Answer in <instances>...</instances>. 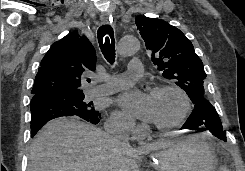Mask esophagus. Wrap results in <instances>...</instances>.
I'll use <instances>...</instances> for the list:
<instances>
[{
  "label": "esophagus",
  "mask_w": 245,
  "mask_h": 171,
  "mask_svg": "<svg viewBox=\"0 0 245 171\" xmlns=\"http://www.w3.org/2000/svg\"><path fill=\"white\" fill-rule=\"evenodd\" d=\"M101 22H102L103 24L111 23V19H110L109 15L106 14V13L102 14V15H101Z\"/></svg>",
  "instance_id": "1"
}]
</instances>
